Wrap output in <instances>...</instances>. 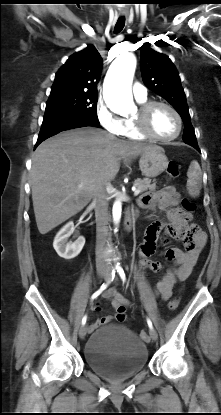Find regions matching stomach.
<instances>
[{"label":"stomach","instance_id":"0dacf381","mask_svg":"<svg viewBox=\"0 0 221 415\" xmlns=\"http://www.w3.org/2000/svg\"><path fill=\"white\" fill-rule=\"evenodd\" d=\"M139 167L144 176L154 178L168 167V159L164 151L156 146L140 155Z\"/></svg>","mask_w":221,"mask_h":415}]
</instances>
